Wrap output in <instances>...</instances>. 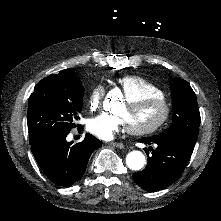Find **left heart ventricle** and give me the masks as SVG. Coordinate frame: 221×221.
Masks as SVG:
<instances>
[{"label": "left heart ventricle", "instance_id": "b2bd125f", "mask_svg": "<svg viewBox=\"0 0 221 221\" xmlns=\"http://www.w3.org/2000/svg\"><path fill=\"white\" fill-rule=\"evenodd\" d=\"M157 119V110L152 105H143L134 112V121L139 126H148Z\"/></svg>", "mask_w": 221, "mask_h": 221}]
</instances>
